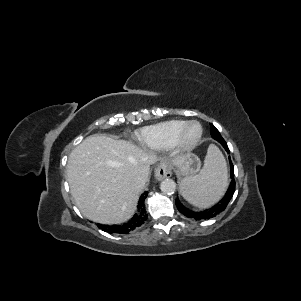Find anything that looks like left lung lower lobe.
Masks as SVG:
<instances>
[{
  "label": "left lung lower lobe",
  "instance_id": "obj_1",
  "mask_svg": "<svg viewBox=\"0 0 301 301\" xmlns=\"http://www.w3.org/2000/svg\"><path fill=\"white\" fill-rule=\"evenodd\" d=\"M211 136L213 139L217 140L219 143L222 144V146L225 148V150L230 153L229 148L227 146V143L224 141V139L220 136V134L216 132H211ZM229 162H230V172H231V183L228 187V190L225 194V196L214 206H212L209 209H206L204 211H192L190 209H187L184 207L178 199H176V206L178 210L185 215L188 218H192L195 220H206L215 217L218 215L220 212H222L230 202L234 192H235V180H234V167L231 162V159L229 157Z\"/></svg>",
  "mask_w": 301,
  "mask_h": 301
}]
</instances>
